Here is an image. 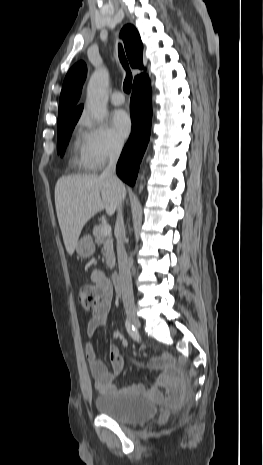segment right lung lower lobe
<instances>
[{"mask_svg":"<svg viewBox=\"0 0 263 465\" xmlns=\"http://www.w3.org/2000/svg\"><path fill=\"white\" fill-rule=\"evenodd\" d=\"M130 109L132 132L121 153L116 172L123 181L133 186L151 131L152 102L148 76H140L134 81Z\"/></svg>","mask_w":263,"mask_h":465,"instance_id":"1","label":"right lung lower lobe"}]
</instances>
